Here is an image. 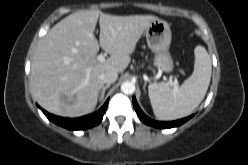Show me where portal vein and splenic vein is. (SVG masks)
<instances>
[{
	"label": "portal vein and splenic vein",
	"instance_id": "18ae733b",
	"mask_svg": "<svg viewBox=\"0 0 248 165\" xmlns=\"http://www.w3.org/2000/svg\"><path fill=\"white\" fill-rule=\"evenodd\" d=\"M97 59H98L99 62H104V61H105V55L101 53V54H99V55L97 56ZM172 85H173V87H174L175 89L178 88V82H177V81H174V82L172 83Z\"/></svg>",
	"mask_w": 248,
	"mask_h": 165
}]
</instances>
